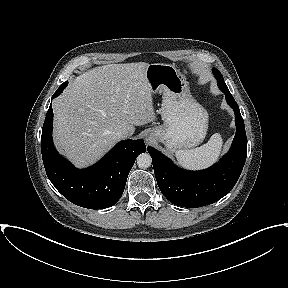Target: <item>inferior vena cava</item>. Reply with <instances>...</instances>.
Masks as SVG:
<instances>
[{
	"label": "inferior vena cava",
	"instance_id": "602c4592",
	"mask_svg": "<svg viewBox=\"0 0 288 288\" xmlns=\"http://www.w3.org/2000/svg\"><path fill=\"white\" fill-rule=\"evenodd\" d=\"M115 135L118 139L127 138L126 132L124 130H118L115 132Z\"/></svg>",
	"mask_w": 288,
	"mask_h": 288
}]
</instances>
